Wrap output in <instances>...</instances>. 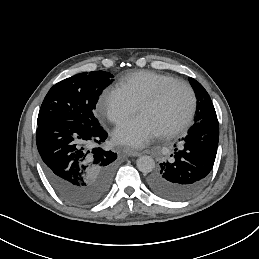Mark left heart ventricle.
<instances>
[{
	"mask_svg": "<svg viewBox=\"0 0 259 259\" xmlns=\"http://www.w3.org/2000/svg\"><path fill=\"white\" fill-rule=\"evenodd\" d=\"M190 95L182 85L171 87L159 103L145 107L139 116L163 133L174 127L188 112Z\"/></svg>",
	"mask_w": 259,
	"mask_h": 259,
	"instance_id": "obj_1",
	"label": "left heart ventricle"
}]
</instances>
